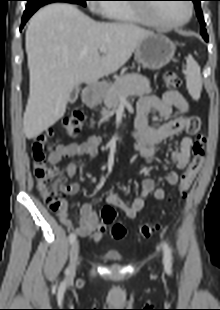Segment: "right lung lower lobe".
Returning <instances> with one entry per match:
<instances>
[{"mask_svg":"<svg viewBox=\"0 0 220 310\" xmlns=\"http://www.w3.org/2000/svg\"><path fill=\"white\" fill-rule=\"evenodd\" d=\"M39 8H33V9H28L26 8V10L24 11L23 14V18H22V23H21V28H23V26L25 25V23L27 22V20L34 14V12H36Z\"/></svg>","mask_w":220,"mask_h":310,"instance_id":"right-lung-lower-lobe-1","label":"right lung lower lobe"}]
</instances>
